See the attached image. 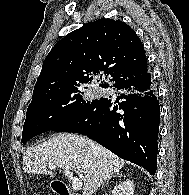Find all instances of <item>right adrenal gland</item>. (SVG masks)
Segmentation results:
<instances>
[{
    "label": "right adrenal gland",
    "instance_id": "right-adrenal-gland-1",
    "mask_svg": "<svg viewBox=\"0 0 189 195\" xmlns=\"http://www.w3.org/2000/svg\"><path fill=\"white\" fill-rule=\"evenodd\" d=\"M116 176L117 177H120V176H122V174H120L119 172H117L114 175L110 176L108 179L105 180V182H103L102 187L104 186L105 183H108L112 178H114Z\"/></svg>",
    "mask_w": 189,
    "mask_h": 195
}]
</instances>
